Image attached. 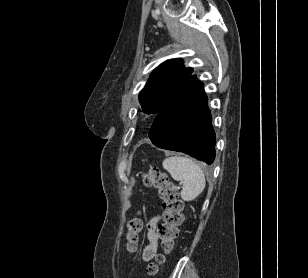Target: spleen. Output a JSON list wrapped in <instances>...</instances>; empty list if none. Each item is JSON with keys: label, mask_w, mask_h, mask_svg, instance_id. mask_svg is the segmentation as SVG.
Instances as JSON below:
<instances>
[{"label": "spleen", "mask_w": 308, "mask_h": 278, "mask_svg": "<svg viewBox=\"0 0 308 278\" xmlns=\"http://www.w3.org/2000/svg\"><path fill=\"white\" fill-rule=\"evenodd\" d=\"M163 168L170 173L174 180L183 183L181 198L184 201L194 200L204 190L206 184L204 172L191 158L167 157L163 161Z\"/></svg>", "instance_id": "obj_1"}]
</instances>
